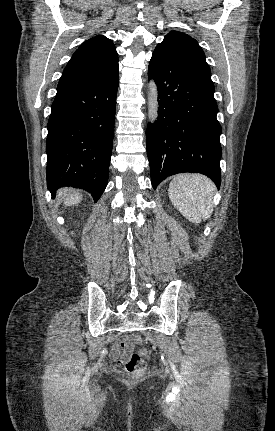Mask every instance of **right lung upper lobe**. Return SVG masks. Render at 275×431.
Listing matches in <instances>:
<instances>
[{
  "label": "right lung upper lobe",
  "instance_id": "cb5924a9",
  "mask_svg": "<svg viewBox=\"0 0 275 431\" xmlns=\"http://www.w3.org/2000/svg\"><path fill=\"white\" fill-rule=\"evenodd\" d=\"M118 71V54L112 41L96 36L85 41L68 62L58 90L94 84Z\"/></svg>",
  "mask_w": 275,
  "mask_h": 431
}]
</instances>
